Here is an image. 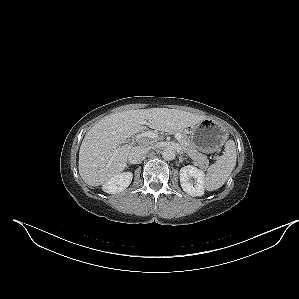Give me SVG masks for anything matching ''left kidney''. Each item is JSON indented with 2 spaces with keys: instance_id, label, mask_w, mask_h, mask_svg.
<instances>
[{
  "instance_id": "obj_1",
  "label": "left kidney",
  "mask_w": 299,
  "mask_h": 299,
  "mask_svg": "<svg viewBox=\"0 0 299 299\" xmlns=\"http://www.w3.org/2000/svg\"><path fill=\"white\" fill-rule=\"evenodd\" d=\"M194 180H191V179ZM180 183L182 189L189 195L196 197L204 194L205 174L192 165L180 169Z\"/></svg>"
}]
</instances>
